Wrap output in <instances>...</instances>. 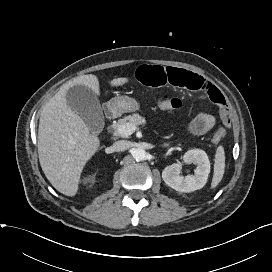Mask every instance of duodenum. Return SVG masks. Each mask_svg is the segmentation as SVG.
<instances>
[{
    "mask_svg": "<svg viewBox=\"0 0 272 272\" xmlns=\"http://www.w3.org/2000/svg\"><path fill=\"white\" fill-rule=\"evenodd\" d=\"M105 116H106L107 120H112L115 116V113L112 109H106Z\"/></svg>",
    "mask_w": 272,
    "mask_h": 272,
    "instance_id": "obj_1",
    "label": "duodenum"
}]
</instances>
